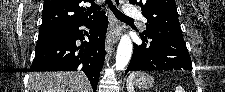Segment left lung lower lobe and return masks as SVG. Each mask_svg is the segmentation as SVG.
I'll return each instance as SVG.
<instances>
[{
	"instance_id": "1",
	"label": "left lung lower lobe",
	"mask_w": 225,
	"mask_h": 92,
	"mask_svg": "<svg viewBox=\"0 0 225 92\" xmlns=\"http://www.w3.org/2000/svg\"><path fill=\"white\" fill-rule=\"evenodd\" d=\"M143 44H134V52L125 71L130 70H191V59L183 39L167 35H140ZM146 38L151 41L148 42Z\"/></svg>"
}]
</instances>
